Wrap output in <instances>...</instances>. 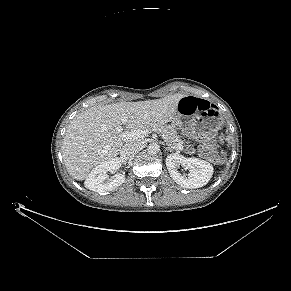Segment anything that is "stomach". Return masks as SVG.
<instances>
[{"label":"stomach","instance_id":"1","mask_svg":"<svg viewBox=\"0 0 291 291\" xmlns=\"http://www.w3.org/2000/svg\"><path fill=\"white\" fill-rule=\"evenodd\" d=\"M172 124L183 127L186 133L194 139H207L214 136L222 125L219 112L214 108L205 109L182 121V115L176 114Z\"/></svg>","mask_w":291,"mask_h":291}]
</instances>
